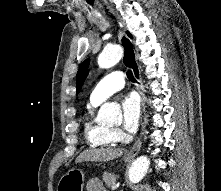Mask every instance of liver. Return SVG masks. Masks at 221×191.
<instances>
[{"mask_svg":"<svg viewBox=\"0 0 221 191\" xmlns=\"http://www.w3.org/2000/svg\"><path fill=\"white\" fill-rule=\"evenodd\" d=\"M123 150L116 148L89 149L83 151L76 159V163L91 161L103 162L122 156Z\"/></svg>","mask_w":221,"mask_h":191,"instance_id":"obj_1","label":"liver"}]
</instances>
